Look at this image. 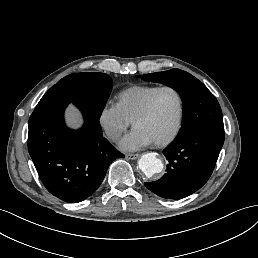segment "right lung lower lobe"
Returning a JSON list of instances; mask_svg holds the SVG:
<instances>
[{"instance_id":"98d812e1","label":"right lung lower lobe","mask_w":258,"mask_h":258,"mask_svg":"<svg viewBox=\"0 0 258 258\" xmlns=\"http://www.w3.org/2000/svg\"><path fill=\"white\" fill-rule=\"evenodd\" d=\"M90 90L77 83L55 84L28 122V151L43 185L52 195L71 203L94 193L111 162L124 157L102 136L100 118L89 108ZM71 102L84 117L79 130H71L64 123V110Z\"/></svg>"}]
</instances>
